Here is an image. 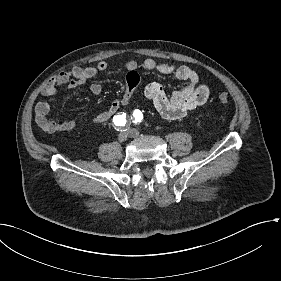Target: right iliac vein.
I'll use <instances>...</instances> for the list:
<instances>
[{
	"mask_svg": "<svg viewBox=\"0 0 281 281\" xmlns=\"http://www.w3.org/2000/svg\"><path fill=\"white\" fill-rule=\"evenodd\" d=\"M129 136L128 131H123L118 135V141L119 142H125L127 140V137Z\"/></svg>",
	"mask_w": 281,
	"mask_h": 281,
	"instance_id": "1",
	"label": "right iliac vein"
}]
</instances>
